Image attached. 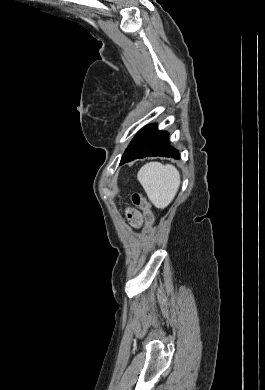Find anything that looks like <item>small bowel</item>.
Instances as JSON below:
<instances>
[{"label": "small bowel", "mask_w": 265, "mask_h": 390, "mask_svg": "<svg viewBox=\"0 0 265 390\" xmlns=\"http://www.w3.org/2000/svg\"><path fill=\"white\" fill-rule=\"evenodd\" d=\"M129 219L133 222L135 226H141L143 222V218L141 214L136 210H130L128 213Z\"/></svg>", "instance_id": "small-bowel-1"}]
</instances>
